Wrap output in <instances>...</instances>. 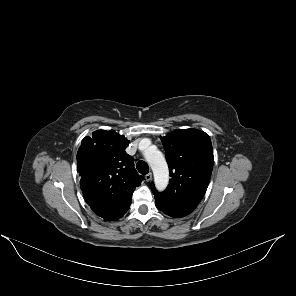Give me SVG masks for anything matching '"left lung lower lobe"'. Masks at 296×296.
Here are the masks:
<instances>
[{"mask_svg": "<svg viewBox=\"0 0 296 296\" xmlns=\"http://www.w3.org/2000/svg\"><path fill=\"white\" fill-rule=\"evenodd\" d=\"M155 205L157 206V208H159L165 214H167V215H169L171 217H175V218L184 217V216L191 213L190 211H178V210L163 208V207L159 206L157 203H155Z\"/></svg>", "mask_w": 296, "mask_h": 296, "instance_id": "1", "label": "left lung lower lobe"}]
</instances>
